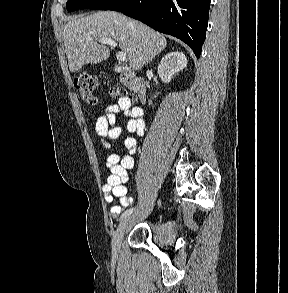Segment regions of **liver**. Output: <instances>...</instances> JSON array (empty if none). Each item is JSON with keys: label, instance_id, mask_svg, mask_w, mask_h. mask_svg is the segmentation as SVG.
<instances>
[{"label": "liver", "instance_id": "1", "mask_svg": "<svg viewBox=\"0 0 288 293\" xmlns=\"http://www.w3.org/2000/svg\"><path fill=\"white\" fill-rule=\"evenodd\" d=\"M63 37L71 72L78 71L85 64L101 63L109 57V48L98 43L101 38H110L118 43L132 70L141 69L167 46L162 34L112 11L70 19L64 27Z\"/></svg>", "mask_w": 288, "mask_h": 293}]
</instances>
